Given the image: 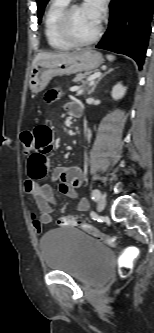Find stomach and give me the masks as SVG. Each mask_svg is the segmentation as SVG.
Instances as JSON below:
<instances>
[{
    "instance_id": "obj_1",
    "label": "stomach",
    "mask_w": 154,
    "mask_h": 333,
    "mask_svg": "<svg viewBox=\"0 0 154 333\" xmlns=\"http://www.w3.org/2000/svg\"><path fill=\"white\" fill-rule=\"evenodd\" d=\"M102 63V55L92 49H85L60 59L39 61L31 70L30 90L33 93L41 92L55 76L91 71L97 69Z\"/></svg>"
}]
</instances>
